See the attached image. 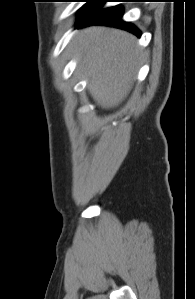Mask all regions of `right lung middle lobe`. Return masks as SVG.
Instances as JSON below:
<instances>
[{"label":"right lung middle lobe","mask_w":195,"mask_h":299,"mask_svg":"<svg viewBox=\"0 0 195 299\" xmlns=\"http://www.w3.org/2000/svg\"><path fill=\"white\" fill-rule=\"evenodd\" d=\"M89 2H87L79 11V19H81L84 14L88 11V9L94 4L93 0H88Z\"/></svg>","instance_id":"1"}]
</instances>
